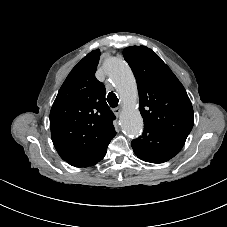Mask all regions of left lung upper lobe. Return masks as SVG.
Here are the masks:
<instances>
[{
    "label": "left lung upper lobe",
    "mask_w": 227,
    "mask_h": 227,
    "mask_svg": "<svg viewBox=\"0 0 227 227\" xmlns=\"http://www.w3.org/2000/svg\"><path fill=\"white\" fill-rule=\"evenodd\" d=\"M123 55L136 78L144 127L185 142L194 124V114L183 85L163 60L146 46L127 47Z\"/></svg>",
    "instance_id": "obj_1"
}]
</instances>
